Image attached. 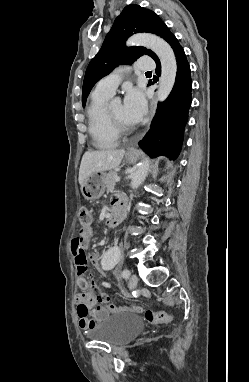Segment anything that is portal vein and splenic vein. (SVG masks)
Instances as JSON below:
<instances>
[{
    "mask_svg": "<svg viewBox=\"0 0 249 382\" xmlns=\"http://www.w3.org/2000/svg\"><path fill=\"white\" fill-rule=\"evenodd\" d=\"M115 181H116V182L120 181V177H119V176H116V177H115Z\"/></svg>",
    "mask_w": 249,
    "mask_h": 382,
    "instance_id": "portal-vein-and-splenic-vein-1",
    "label": "portal vein and splenic vein"
}]
</instances>
